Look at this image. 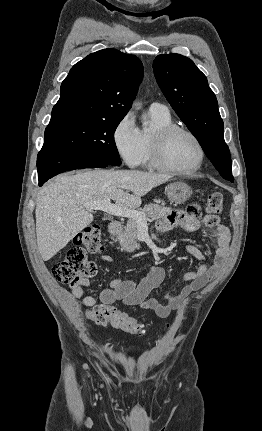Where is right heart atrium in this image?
I'll use <instances>...</instances> for the list:
<instances>
[{
	"instance_id": "obj_1",
	"label": "right heart atrium",
	"mask_w": 262,
	"mask_h": 431,
	"mask_svg": "<svg viewBox=\"0 0 262 431\" xmlns=\"http://www.w3.org/2000/svg\"><path fill=\"white\" fill-rule=\"evenodd\" d=\"M112 138L117 152L127 165L137 166L141 163L143 146L140 130L130 113L117 122Z\"/></svg>"
}]
</instances>
